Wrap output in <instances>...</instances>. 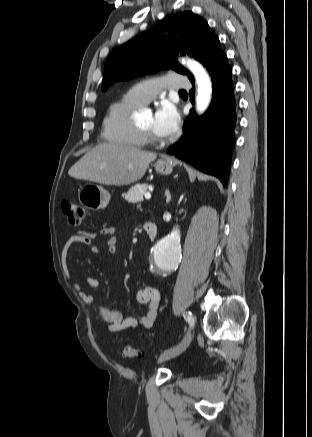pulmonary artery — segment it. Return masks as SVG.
Masks as SVG:
<instances>
[{
  "label": "pulmonary artery",
  "instance_id": "obj_1",
  "mask_svg": "<svg viewBox=\"0 0 312 437\" xmlns=\"http://www.w3.org/2000/svg\"><path fill=\"white\" fill-rule=\"evenodd\" d=\"M189 86L190 81L185 75L173 73L140 82L128 91L127 96L141 105H146L162 89H185Z\"/></svg>",
  "mask_w": 312,
  "mask_h": 437
}]
</instances>
